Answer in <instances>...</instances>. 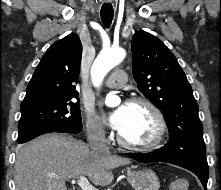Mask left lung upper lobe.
<instances>
[{"instance_id": "5c2ea615", "label": "left lung upper lobe", "mask_w": 221, "mask_h": 190, "mask_svg": "<svg viewBox=\"0 0 221 190\" xmlns=\"http://www.w3.org/2000/svg\"><path fill=\"white\" fill-rule=\"evenodd\" d=\"M133 77L138 89L163 113L175 150L206 152L192 88L173 53L157 37L132 38Z\"/></svg>"}]
</instances>
